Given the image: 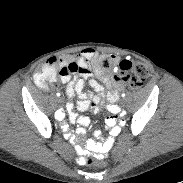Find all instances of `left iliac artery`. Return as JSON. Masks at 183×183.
<instances>
[{"label": "left iliac artery", "instance_id": "left-iliac-artery-1", "mask_svg": "<svg viewBox=\"0 0 183 183\" xmlns=\"http://www.w3.org/2000/svg\"><path fill=\"white\" fill-rule=\"evenodd\" d=\"M125 96H126L125 93H123V94H122V97H125Z\"/></svg>", "mask_w": 183, "mask_h": 183}]
</instances>
